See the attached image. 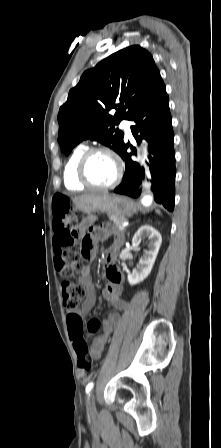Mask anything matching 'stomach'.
Returning a JSON list of instances; mask_svg holds the SVG:
<instances>
[{
  "instance_id": "0dacf381",
  "label": "stomach",
  "mask_w": 221,
  "mask_h": 448,
  "mask_svg": "<svg viewBox=\"0 0 221 448\" xmlns=\"http://www.w3.org/2000/svg\"><path fill=\"white\" fill-rule=\"evenodd\" d=\"M75 205L77 209L88 215L100 211L113 216L125 217L134 214L137 210L136 204L130 198L111 195L108 192L78 200Z\"/></svg>"
}]
</instances>
